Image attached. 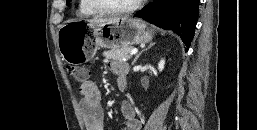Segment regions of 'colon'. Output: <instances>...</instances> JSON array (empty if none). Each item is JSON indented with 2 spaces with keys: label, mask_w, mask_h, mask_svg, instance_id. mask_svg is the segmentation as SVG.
<instances>
[{
  "label": "colon",
  "mask_w": 257,
  "mask_h": 130,
  "mask_svg": "<svg viewBox=\"0 0 257 130\" xmlns=\"http://www.w3.org/2000/svg\"><path fill=\"white\" fill-rule=\"evenodd\" d=\"M68 71L75 81L83 83L88 78V71L80 66H69Z\"/></svg>",
  "instance_id": "1"
}]
</instances>
